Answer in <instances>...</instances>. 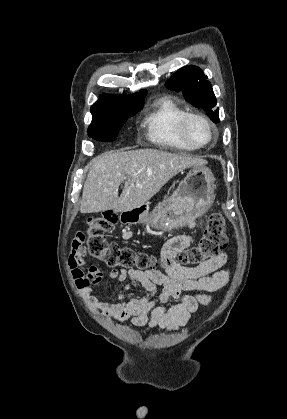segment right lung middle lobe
<instances>
[{"label":"right lung middle lobe","mask_w":287,"mask_h":419,"mask_svg":"<svg viewBox=\"0 0 287 419\" xmlns=\"http://www.w3.org/2000/svg\"><path fill=\"white\" fill-rule=\"evenodd\" d=\"M143 106L123 108L92 114L93 120L88 128L89 137L98 141H114L128 117L134 116Z\"/></svg>","instance_id":"1"}]
</instances>
